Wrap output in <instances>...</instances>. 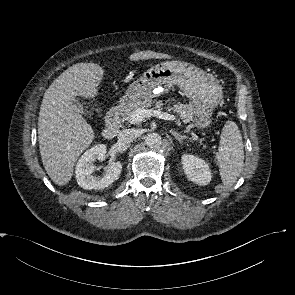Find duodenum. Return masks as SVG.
Here are the masks:
<instances>
[{
    "instance_id": "duodenum-1",
    "label": "duodenum",
    "mask_w": 295,
    "mask_h": 295,
    "mask_svg": "<svg viewBox=\"0 0 295 295\" xmlns=\"http://www.w3.org/2000/svg\"><path fill=\"white\" fill-rule=\"evenodd\" d=\"M124 104L120 103L113 107L106 117V125L103 130V136L106 139H112L116 136L119 130L120 116L123 111Z\"/></svg>"
}]
</instances>
